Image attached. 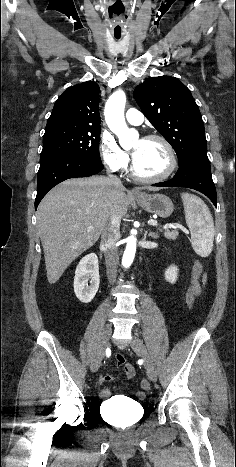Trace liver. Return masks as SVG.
Listing matches in <instances>:
<instances>
[{
  "label": "liver",
  "instance_id": "1",
  "mask_svg": "<svg viewBox=\"0 0 236 467\" xmlns=\"http://www.w3.org/2000/svg\"><path fill=\"white\" fill-rule=\"evenodd\" d=\"M128 204L125 188L102 176L68 179L48 192L37 209L48 282L56 283L70 263L96 243L113 215L121 221Z\"/></svg>",
  "mask_w": 236,
  "mask_h": 467
}]
</instances>
